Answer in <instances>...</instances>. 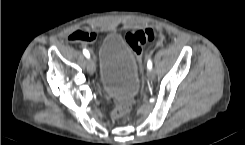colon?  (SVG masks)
Returning a JSON list of instances; mask_svg holds the SVG:
<instances>
[{"label":"colon","mask_w":245,"mask_h":145,"mask_svg":"<svg viewBox=\"0 0 245 145\" xmlns=\"http://www.w3.org/2000/svg\"><path fill=\"white\" fill-rule=\"evenodd\" d=\"M157 33L153 28L137 29L126 35V41L129 43L137 59V68L142 69V46L146 42L154 41ZM96 35L93 32L78 28L70 32L67 39L74 43L93 42ZM131 105L128 101H119L112 110L111 116L114 120H123L130 113Z\"/></svg>","instance_id":"colon-1"}]
</instances>
